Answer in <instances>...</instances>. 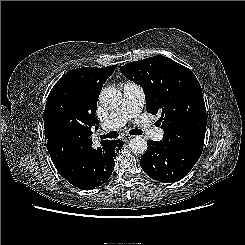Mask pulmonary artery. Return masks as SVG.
I'll return each mask as SVG.
<instances>
[{
    "mask_svg": "<svg viewBox=\"0 0 245 245\" xmlns=\"http://www.w3.org/2000/svg\"><path fill=\"white\" fill-rule=\"evenodd\" d=\"M144 101L145 97L142 87L132 82H126L123 85L121 105L111 112L101 124V132L117 130L124 126L129 119L136 117L141 112ZM143 132L146 137L156 141H160L163 138V130L150 125L145 126Z\"/></svg>",
    "mask_w": 245,
    "mask_h": 245,
    "instance_id": "pulmonary-artery-1",
    "label": "pulmonary artery"
}]
</instances>
